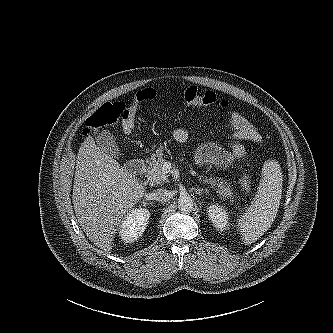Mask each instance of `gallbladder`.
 Masks as SVG:
<instances>
[{
    "label": "gallbladder",
    "mask_w": 333,
    "mask_h": 333,
    "mask_svg": "<svg viewBox=\"0 0 333 333\" xmlns=\"http://www.w3.org/2000/svg\"><path fill=\"white\" fill-rule=\"evenodd\" d=\"M96 142L106 153L114 156L115 158L119 159L122 155L115 138L109 130H102L98 134Z\"/></svg>",
    "instance_id": "gallbladder-1"
}]
</instances>
